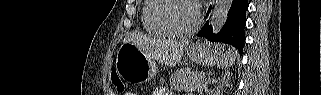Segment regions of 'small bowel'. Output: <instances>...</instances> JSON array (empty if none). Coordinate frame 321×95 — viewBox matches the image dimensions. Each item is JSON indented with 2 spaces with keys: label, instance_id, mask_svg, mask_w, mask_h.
<instances>
[{
  "label": "small bowel",
  "instance_id": "c3829d8e",
  "mask_svg": "<svg viewBox=\"0 0 321 95\" xmlns=\"http://www.w3.org/2000/svg\"><path fill=\"white\" fill-rule=\"evenodd\" d=\"M157 95H162L161 93H157Z\"/></svg>",
  "mask_w": 321,
  "mask_h": 95
}]
</instances>
